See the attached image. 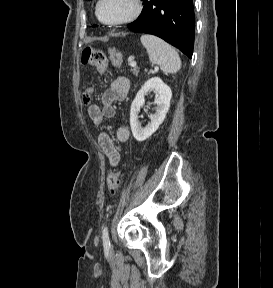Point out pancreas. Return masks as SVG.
I'll use <instances>...</instances> for the list:
<instances>
[{
    "label": "pancreas",
    "instance_id": "cf45deb5",
    "mask_svg": "<svg viewBox=\"0 0 273 288\" xmlns=\"http://www.w3.org/2000/svg\"><path fill=\"white\" fill-rule=\"evenodd\" d=\"M133 73H134L136 76H138L139 69H138L137 67H135V68L133 69Z\"/></svg>",
    "mask_w": 273,
    "mask_h": 288
}]
</instances>
